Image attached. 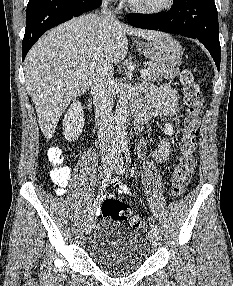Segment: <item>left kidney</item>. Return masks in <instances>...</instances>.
<instances>
[{"mask_svg":"<svg viewBox=\"0 0 233 286\" xmlns=\"http://www.w3.org/2000/svg\"><path fill=\"white\" fill-rule=\"evenodd\" d=\"M163 132L168 135L171 136L174 132H173V125L171 123H166L164 124L163 127Z\"/></svg>","mask_w":233,"mask_h":286,"instance_id":"5707ae66","label":"left kidney"}]
</instances>
